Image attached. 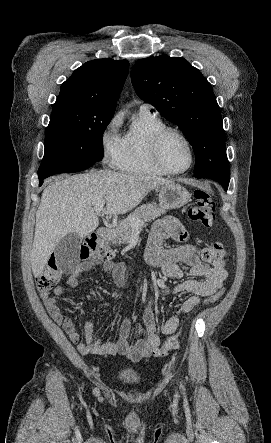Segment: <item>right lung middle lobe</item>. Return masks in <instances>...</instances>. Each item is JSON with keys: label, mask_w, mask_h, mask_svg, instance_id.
I'll return each instance as SVG.
<instances>
[{"label": "right lung middle lobe", "mask_w": 271, "mask_h": 443, "mask_svg": "<svg viewBox=\"0 0 271 443\" xmlns=\"http://www.w3.org/2000/svg\"><path fill=\"white\" fill-rule=\"evenodd\" d=\"M112 116L93 117L73 105L53 106L45 154L38 172L65 166H92L103 158L102 135Z\"/></svg>", "instance_id": "right-lung-middle-lobe-1"}]
</instances>
